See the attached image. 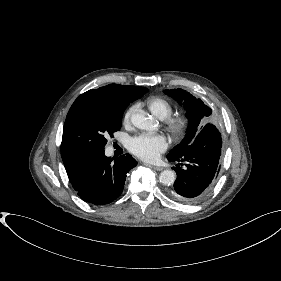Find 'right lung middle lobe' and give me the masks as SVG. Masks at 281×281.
<instances>
[{
  "instance_id": "dd1d6c3e",
  "label": "right lung middle lobe",
  "mask_w": 281,
  "mask_h": 281,
  "mask_svg": "<svg viewBox=\"0 0 281 281\" xmlns=\"http://www.w3.org/2000/svg\"><path fill=\"white\" fill-rule=\"evenodd\" d=\"M127 104L105 101L87 91L71 106L63 128L61 155L65 168L104 151L106 137L120 130Z\"/></svg>"
}]
</instances>
